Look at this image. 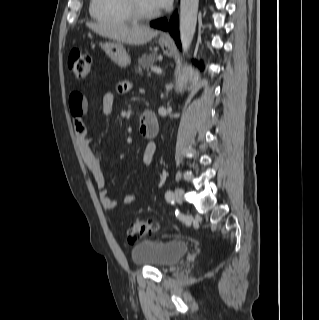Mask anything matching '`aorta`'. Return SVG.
I'll return each instance as SVG.
<instances>
[{
    "label": "aorta",
    "instance_id": "obj_1",
    "mask_svg": "<svg viewBox=\"0 0 319 320\" xmlns=\"http://www.w3.org/2000/svg\"><path fill=\"white\" fill-rule=\"evenodd\" d=\"M199 0L180 1V39L183 53H187L194 37Z\"/></svg>",
    "mask_w": 319,
    "mask_h": 320
}]
</instances>
